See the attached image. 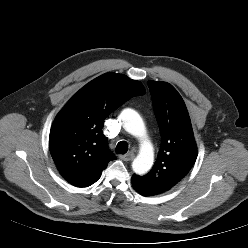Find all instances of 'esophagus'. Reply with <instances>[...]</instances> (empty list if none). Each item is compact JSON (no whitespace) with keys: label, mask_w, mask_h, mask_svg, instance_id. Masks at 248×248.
<instances>
[{"label":"esophagus","mask_w":248,"mask_h":248,"mask_svg":"<svg viewBox=\"0 0 248 248\" xmlns=\"http://www.w3.org/2000/svg\"><path fill=\"white\" fill-rule=\"evenodd\" d=\"M135 157V154L133 152H129L125 155H121L120 156V159L124 160V161H131L133 160Z\"/></svg>","instance_id":"esophagus-1"}]
</instances>
